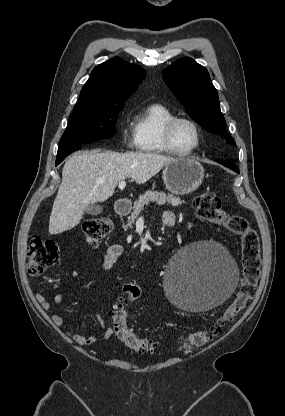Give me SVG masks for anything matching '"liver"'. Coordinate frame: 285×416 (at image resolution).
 Segmentation results:
<instances>
[{"label":"liver","mask_w":285,"mask_h":416,"mask_svg":"<svg viewBox=\"0 0 285 416\" xmlns=\"http://www.w3.org/2000/svg\"><path fill=\"white\" fill-rule=\"evenodd\" d=\"M99 152H77L65 162L49 220V234H62L78 226L89 204L106 202L119 182L132 178L136 184H145L175 160L144 152Z\"/></svg>","instance_id":"6515ba94"}]
</instances>
